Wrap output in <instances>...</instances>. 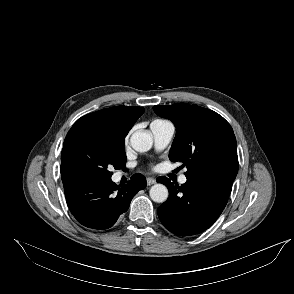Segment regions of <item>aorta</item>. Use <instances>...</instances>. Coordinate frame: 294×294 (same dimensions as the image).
<instances>
[{"label":"aorta","mask_w":294,"mask_h":294,"mask_svg":"<svg viewBox=\"0 0 294 294\" xmlns=\"http://www.w3.org/2000/svg\"><path fill=\"white\" fill-rule=\"evenodd\" d=\"M132 148L137 152H147L151 149L153 139L149 133L135 132L130 138ZM150 197L154 202L163 203L168 198V189L163 184H155L149 191Z\"/></svg>","instance_id":"aorta-1"}]
</instances>
